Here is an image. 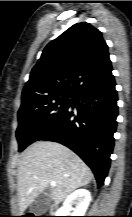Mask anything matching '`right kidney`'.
Listing matches in <instances>:
<instances>
[{
    "instance_id": "ca27d5eb",
    "label": "right kidney",
    "mask_w": 132,
    "mask_h": 217,
    "mask_svg": "<svg viewBox=\"0 0 132 217\" xmlns=\"http://www.w3.org/2000/svg\"><path fill=\"white\" fill-rule=\"evenodd\" d=\"M90 202V192L86 189H78L67 197L56 216H84Z\"/></svg>"
}]
</instances>
